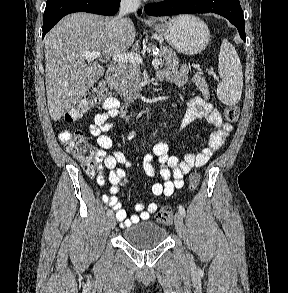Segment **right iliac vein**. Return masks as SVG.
Listing matches in <instances>:
<instances>
[{"label":"right iliac vein","instance_id":"63e3f726","mask_svg":"<svg viewBox=\"0 0 288 293\" xmlns=\"http://www.w3.org/2000/svg\"><path fill=\"white\" fill-rule=\"evenodd\" d=\"M108 223H109V226H110L111 229H113L115 227L116 220H115V217L113 215H111L109 217Z\"/></svg>","mask_w":288,"mask_h":293}]
</instances>
